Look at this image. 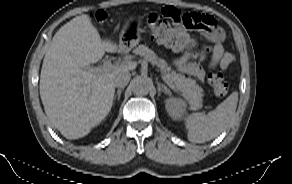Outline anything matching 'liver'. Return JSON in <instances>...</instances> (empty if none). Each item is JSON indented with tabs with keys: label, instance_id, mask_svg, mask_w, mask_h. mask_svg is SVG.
Instances as JSON below:
<instances>
[{
	"label": "liver",
	"instance_id": "6515ba94",
	"mask_svg": "<svg viewBox=\"0 0 292 184\" xmlns=\"http://www.w3.org/2000/svg\"><path fill=\"white\" fill-rule=\"evenodd\" d=\"M110 40H102L89 15L73 18L54 35L40 75V97L51 124L68 139L90 133L111 110L120 72L136 68V62L94 73L90 64L105 52H127Z\"/></svg>",
	"mask_w": 292,
	"mask_h": 184
}]
</instances>
